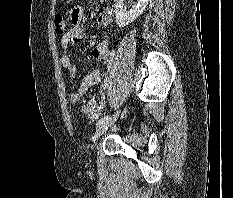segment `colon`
I'll return each instance as SVG.
<instances>
[{"label":"colon","mask_w":233,"mask_h":198,"mask_svg":"<svg viewBox=\"0 0 233 198\" xmlns=\"http://www.w3.org/2000/svg\"><path fill=\"white\" fill-rule=\"evenodd\" d=\"M55 29L58 34H62L67 29V22L61 15L55 16ZM102 101L99 98H92L89 101L84 102L82 111L87 115H96L102 109Z\"/></svg>","instance_id":"1"}]
</instances>
